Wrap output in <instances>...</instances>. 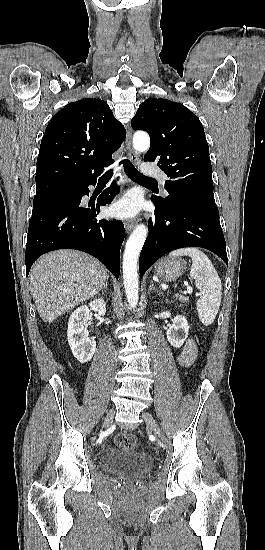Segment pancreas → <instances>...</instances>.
Segmentation results:
<instances>
[{"mask_svg":"<svg viewBox=\"0 0 265 550\" xmlns=\"http://www.w3.org/2000/svg\"><path fill=\"white\" fill-rule=\"evenodd\" d=\"M175 297L179 299V301H181L182 303H186L189 300L188 297L184 295H176Z\"/></svg>","mask_w":265,"mask_h":550,"instance_id":"1","label":"pancreas"}]
</instances>
